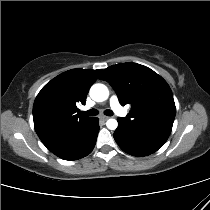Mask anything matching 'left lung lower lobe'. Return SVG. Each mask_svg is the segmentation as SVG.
I'll return each mask as SVG.
<instances>
[{
	"label": "left lung lower lobe",
	"instance_id": "0a47b994",
	"mask_svg": "<svg viewBox=\"0 0 210 210\" xmlns=\"http://www.w3.org/2000/svg\"><path fill=\"white\" fill-rule=\"evenodd\" d=\"M118 120V119H117ZM114 139L120 148L133 156H147L161 148L168 137L132 131L118 121Z\"/></svg>",
	"mask_w": 210,
	"mask_h": 210
}]
</instances>
